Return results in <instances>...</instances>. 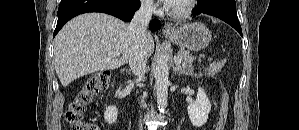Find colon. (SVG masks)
Segmentation results:
<instances>
[{"label":"colon","mask_w":299,"mask_h":130,"mask_svg":"<svg viewBox=\"0 0 299 130\" xmlns=\"http://www.w3.org/2000/svg\"><path fill=\"white\" fill-rule=\"evenodd\" d=\"M224 63V59H219L210 66V70L217 72L224 66ZM110 83L111 74L108 71L96 72L85 80L76 98L68 105L65 113V119L70 130H100L97 125L85 119V113L95 96L106 90ZM220 96V119L215 130H224L228 118L227 94L224 90H221Z\"/></svg>","instance_id":"colon-1"}]
</instances>
